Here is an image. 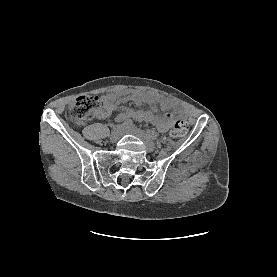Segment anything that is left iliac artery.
<instances>
[{
	"label": "left iliac artery",
	"mask_w": 277,
	"mask_h": 277,
	"mask_svg": "<svg viewBox=\"0 0 277 277\" xmlns=\"http://www.w3.org/2000/svg\"><path fill=\"white\" fill-rule=\"evenodd\" d=\"M146 133L148 134L149 137H151L154 140L158 138V134L154 130L147 129Z\"/></svg>",
	"instance_id": "44dca946"
}]
</instances>
